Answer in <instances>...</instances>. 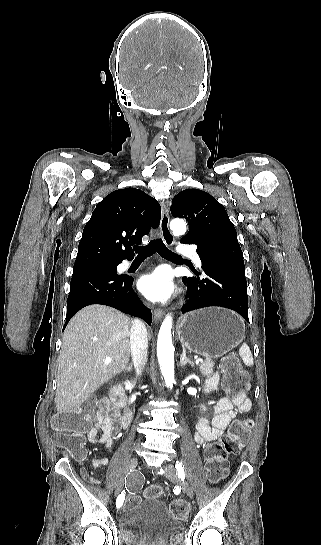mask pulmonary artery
Segmentation results:
<instances>
[{"mask_svg": "<svg viewBox=\"0 0 321 545\" xmlns=\"http://www.w3.org/2000/svg\"><path fill=\"white\" fill-rule=\"evenodd\" d=\"M177 247H178L179 250H176V253H182V255L185 256V257L192 256V259L195 262V264L198 265V266L201 265V260H200L199 256L196 253H194V250H193L192 247L185 246V244L182 243V242L179 243ZM129 265H130L129 263H122V264H120V267L123 268V269H126V268L129 267Z\"/></svg>", "mask_w": 321, "mask_h": 545, "instance_id": "e3ab8cb5", "label": "pulmonary artery"}]
</instances>
